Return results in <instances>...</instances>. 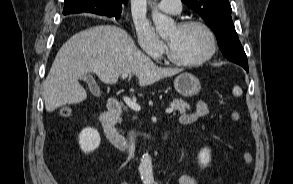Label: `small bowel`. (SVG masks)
Here are the masks:
<instances>
[{
  "mask_svg": "<svg viewBox=\"0 0 293 184\" xmlns=\"http://www.w3.org/2000/svg\"><path fill=\"white\" fill-rule=\"evenodd\" d=\"M208 115V108L206 104L202 101H199L196 105V109L193 113L185 114L181 117V122L184 124H190L196 121L199 118L205 117ZM180 184H198L194 177L189 174H183L179 179ZM122 184H127L123 182Z\"/></svg>",
  "mask_w": 293,
  "mask_h": 184,
  "instance_id": "small-bowel-1",
  "label": "small bowel"
}]
</instances>
